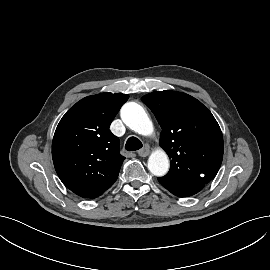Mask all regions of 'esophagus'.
Listing matches in <instances>:
<instances>
[{"label": "esophagus", "instance_id": "1", "mask_svg": "<svg viewBox=\"0 0 270 270\" xmlns=\"http://www.w3.org/2000/svg\"><path fill=\"white\" fill-rule=\"evenodd\" d=\"M149 152H150L149 147L148 146H145V147H143L142 149H140L138 151V155L140 157H146V156L149 155Z\"/></svg>", "mask_w": 270, "mask_h": 270}]
</instances>
